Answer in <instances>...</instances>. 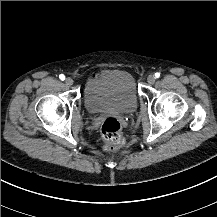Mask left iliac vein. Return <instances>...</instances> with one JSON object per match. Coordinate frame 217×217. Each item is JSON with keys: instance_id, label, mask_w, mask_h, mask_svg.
Segmentation results:
<instances>
[{"instance_id": "obj_1", "label": "left iliac vein", "mask_w": 217, "mask_h": 217, "mask_svg": "<svg viewBox=\"0 0 217 217\" xmlns=\"http://www.w3.org/2000/svg\"><path fill=\"white\" fill-rule=\"evenodd\" d=\"M147 82L149 84H154L155 83V77L153 75H148Z\"/></svg>"}]
</instances>
